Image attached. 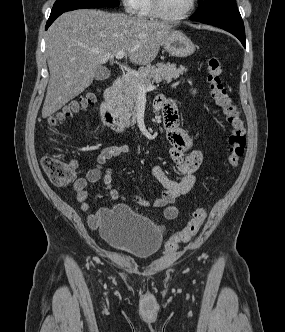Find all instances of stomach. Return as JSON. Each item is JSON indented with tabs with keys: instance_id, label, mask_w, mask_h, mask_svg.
<instances>
[{
	"instance_id": "stomach-1",
	"label": "stomach",
	"mask_w": 285,
	"mask_h": 332,
	"mask_svg": "<svg viewBox=\"0 0 285 332\" xmlns=\"http://www.w3.org/2000/svg\"><path fill=\"white\" fill-rule=\"evenodd\" d=\"M164 49L174 57H188L195 51L196 46L183 32L170 31L163 41Z\"/></svg>"
}]
</instances>
